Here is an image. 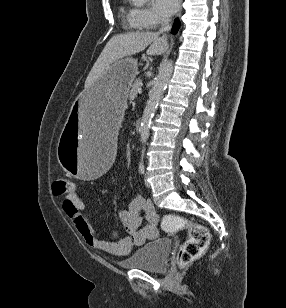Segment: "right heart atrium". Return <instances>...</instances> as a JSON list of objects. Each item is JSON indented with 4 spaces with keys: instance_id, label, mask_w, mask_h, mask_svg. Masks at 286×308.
<instances>
[{
    "instance_id": "1",
    "label": "right heart atrium",
    "mask_w": 286,
    "mask_h": 308,
    "mask_svg": "<svg viewBox=\"0 0 286 308\" xmlns=\"http://www.w3.org/2000/svg\"><path fill=\"white\" fill-rule=\"evenodd\" d=\"M137 16H138L139 24L144 29L155 28L165 21L164 18L157 15L150 8H140V9H138L137 10Z\"/></svg>"
}]
</instances>
